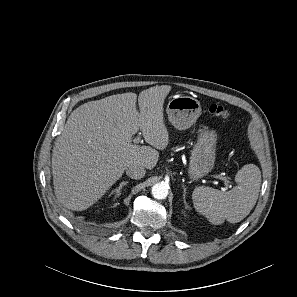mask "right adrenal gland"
<instances>
[{
  "instance_id": "obj_1",
  "label": "right adrenal gland",
  "mask_w": 297,
  "mask_h": 297,
  "mask_svg": "<svg viewBox=\"0 0 297 297\" xmlns=\"http://www.w3.org/2000/svg\"><path fill=\"white\" fill-rule=\"evenodd\" d=\"M129 182L128 181H122L119 185L118 188H116L112 193H115V197H119L121 195V189L123 186L127 185Z\"/></svg>"
}]
</instances>
